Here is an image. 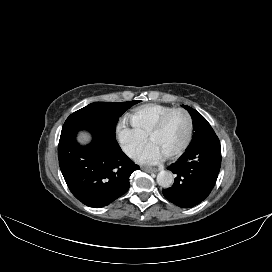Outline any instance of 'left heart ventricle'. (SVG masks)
I'll list each match as a JSON object with an SVG mask.
<instances>
[{
  "label": "left heart ventricle",
  "mask_w": 272,
  "mask_h": 272,
  "mask_svg": "<svg viewBox=\"0 0 272 272\" xmlns=\"http://www.w3.org/2000/svg\"><path fill=\"white\" fill-rule=\"evenodd\" d=\"M188 132V121L183 113L173 114L164 127L151 138L164 154V156L176 151L185 141Z\"/></svg>",
  "instance_id": "obj_1"
}]
</instances>
